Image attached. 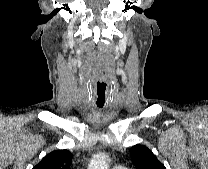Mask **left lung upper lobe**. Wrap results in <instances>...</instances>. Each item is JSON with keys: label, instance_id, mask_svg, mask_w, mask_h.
I'll return each instance as SVG.
<instances>
[{"label": "left lung upper lobe", "instance_id": "1", "mask_svg": "<svg viewBox=\"0 0 208 169\" xmlns=\"http://www.w3.org/2000/svg\"><path fill=\"white\" fill-rule=\"evenodd\" d=\"M130 156L136 169H166L152 151L144 145L132 146Z\"/></svg>", "mask_w": 208, "mask_h": 169}]
</instances>
